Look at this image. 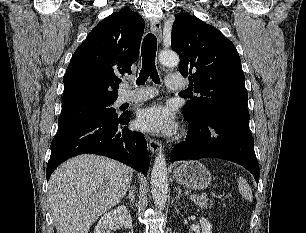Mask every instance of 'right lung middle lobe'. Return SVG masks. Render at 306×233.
<instances>
[{"instance_id": "right-lung-middle-lobe-1", "label": "right lung middle lobe", "mask_w": 306, "mask_h": 233, "mask_svg": "<svg viewBox=\"0 0 306 233\" xmlns=\"http://www.w3.org/2000/svg\"><path fill=\"white\" fill-rule=\"evenodd\" d=\"M114 101L83 99L62 104V112L58 119V128L94 116L118 117L116 110L111 107Z\"/></svg>"}]
</instances>
